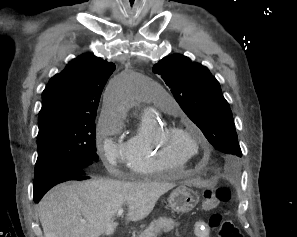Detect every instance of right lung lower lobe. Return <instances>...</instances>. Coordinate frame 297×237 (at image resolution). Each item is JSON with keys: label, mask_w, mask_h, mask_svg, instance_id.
<instances>
[{"label": "right lung lower lobe", "mask_w": 297, "mask_h": 237, "mask_svg": "<svg viewBox=\"0 0 297 237\" xmlns=\"http://www.w3.org/2000/svg\"><path fill=\"white\" fill-rule=\"evenodd\" d=\"M88 178L90 177L86 176L85 170H80L78 168L61 169L55 173L49 185L42 189L34 188L33 199L36 202L39 201L48 190L59 183L70 180H84Z\"/></svg>", "instance_id": "98d812e1"}]
</instances>
